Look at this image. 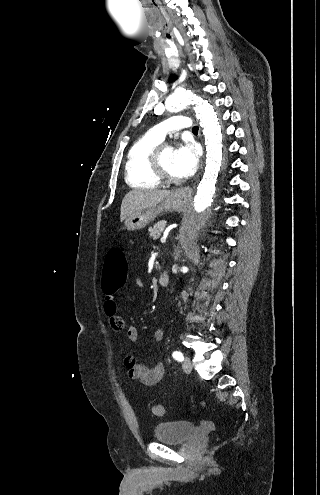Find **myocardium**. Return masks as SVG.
Returning a JSON list of instances; mask_svg holds the SVG:
<instances>
[{"instance_id":"myocardium-1","label":"myocardium","mask_w":320,"mask_h":495,"mask_svg":"<svg viewBox=\"0 0 320 495\" xmlns=\"http://www.w3.org/2000/svg\"><path fill=\"white\" fill-rule=\"evenodd\" d=\"M168 147L166 143H160L151 152L149 156L150 167L153 174L160 180L166 182H172L175 180L163 167L161 161V155L164 148Z\"/></svg>"}]
</instances>
